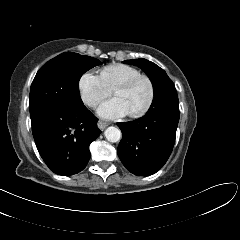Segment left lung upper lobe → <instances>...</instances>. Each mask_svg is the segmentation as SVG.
<instances>
[{
    "mask_svg": "<svg viewBox=\"0 0 240 240\" xmlns=\"http://www.w3.org/2000/svg\"><path fill=\"white\" fill-rule=\"evenodd\" d=\"M125 62L139 66L148 75L152 82L154 98L148 111L163 106L179 107L175 86L163 69L153 62L142 58L126 60Z\"/></svg>",
    "mask_w": 240,
    "mask_h": 240,
    "instance_id": "obj_1",
    "label": "left lung upper lobe"
}]
</instances>
